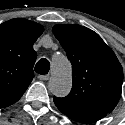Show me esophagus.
Masks as SVG:
<instances>
[{
	"mask_svg": "<svg viewBox=\"0 0 125 125\" xmlns=\"http://www.w3.org/2000/svg\"><path fill=\"white\" fill-rule=\"evenodd\" d=\"M38 78L41 81H47V80H49L50 76L48 74H46V75H39Z\"/></svg>",
	"mask_w": 125,
	"mask_h": 125,
	"instance_id": "esophagus-1",
	"label": "esophagus"
}]
</instances>
